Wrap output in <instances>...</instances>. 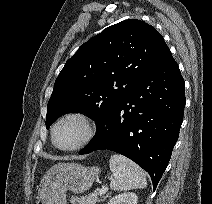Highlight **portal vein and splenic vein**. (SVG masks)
<instances>
[{
    "label": "portal vein and splenic vein",
    "mask_w": 212,
    "mask_h": 204,
    "mask_svg": "<svg viewBox=\"0 0 212 204\" xmlns=\"http://www.w3.org/2000/svg\"><path fill=\"white\" fill-rule=\"evenodd\" d=\"M108 188L106 186H102V188L99 190V194L103 195L107 192Z\"/></svg>",
    "instance_id": "1"
}]
</instances>
